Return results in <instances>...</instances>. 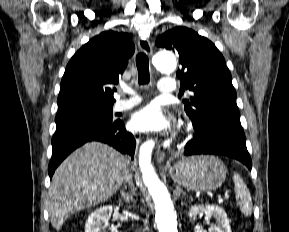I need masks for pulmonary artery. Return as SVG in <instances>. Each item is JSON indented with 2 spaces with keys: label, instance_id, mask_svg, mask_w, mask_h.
I'll list each match as a JSON object with an SVG mask.
<instances>
[{
  "label": "pulmonary artery",
  "instance_id": "e3ab8cb5",
  "mask_svg": "<svg viewBox=\"0 0 289 232\" xmlns=\"http://www.w3.org/2000/svg\"><path fill=\"white\" fill-rule=\"evenodd\" d=\"M158 89L163 94L174 93L177 89L176 82L172 78H162L158 83ZM123 91L131 94L132 97L128 99L117 100L114 105V109L116 111H124V110L130 109L141 101L140 97L135 95L132 89L124 88Z\"/></svg>",
  "mask_w": 289,
  "mask_h": 232
}]
</instances>
